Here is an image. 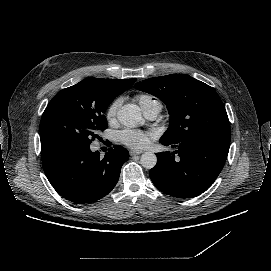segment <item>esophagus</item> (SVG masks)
I'll use <instances>...</instances> for the list:
<instances>
[{
    "instance_id": "1",
    "label": "esophagus",
    "mask_w": 271,
    "mask_h": 271,
    "mask_svg": "<svg viewBox=\"0 0 271 271\" xmlns=\"http://www.w3.org/2000/svg\"><path fill=\"white\" fill-rule=\"evenodd\" d=\"M141 153H143L142 150H131V151H130V155H131V156L139 155V154H141Z\"/></svg>"
}]
</instances>
